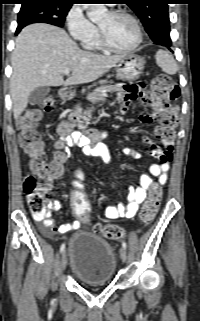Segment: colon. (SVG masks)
<instances>
[{
	"label": "colon",
	"mask_w": 200,
	"mask_h": 321,
	"mask_svg": "<svg viewBox=\"0 0 200 321\" xmlns=\"http://www.w3.org/2000/svg\"><path fill=\"white\" fill-rule=\"evenodd\" d=\"M144 96H136L146 103H159L167 106L166 115L160 126L161 138L168 143L173 142L174 129L177 126L178 119L175 109L171 107L170 102L179 97L178 86L166 75L160 74L154 77L151 86L144 90ZM42 107L45 111H52L55 107L53 97H46L42 101ZM40 113L31 111L21 117L18 121L19 142L21 147L30 156L29 168L30 174L24 180V191L27 195L29 209L34 217H43L47 214V196L52 188L53 181L59 176L61 168L56 161H49L43 151L40 134L37 129ZM73 120L81 124L85 123V117L75 115ZM173 152L170 146L167 149V157L172 158ZM79 181L73 180L70 203L73 215L76 216L77 222H88L90 203L89 197L83 191L86 185L85 177L78 174ZM160 205V190L157 185L152 186L150 197L143 204L139 220L141 224L148 225L155 218ZM95 229L111 240L121 239L125 232L116 225L101 226L95 225Z\"/></svg>",
	"instance_id": "1"
}]
</instances>
